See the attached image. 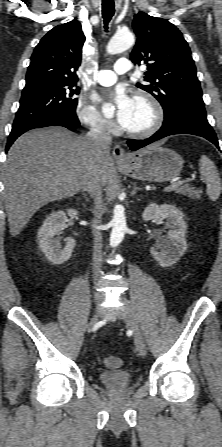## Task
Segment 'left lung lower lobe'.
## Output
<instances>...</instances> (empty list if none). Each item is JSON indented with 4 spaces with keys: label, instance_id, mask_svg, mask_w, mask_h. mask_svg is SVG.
Here are the masks:
<instances>
[{
    "label": "left lung lower lobe",
    "instance_id": "obj_1",
    "mask_svg": "<svg viewBox=\"0 0 222 447\" xmlns=\"http://www.w3.org/2000/svg\"><path fill=\"white\" fill-rule=\"evenodd\" d=\"M174 134H193L201 136L212 142L219 148L216 134L207 118L188 111H174L168 117L164 118V122L160 130L145 140L127 141L130 149L135 151L161 138Z\"/></svg>",
    "mask_w": 222,
    "mask_h": 447
}]
</instances>
